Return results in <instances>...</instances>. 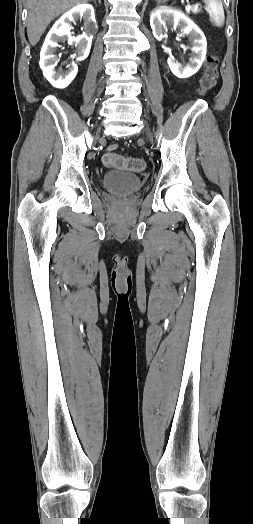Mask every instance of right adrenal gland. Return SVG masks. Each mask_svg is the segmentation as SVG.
<instances>
[{"label":"right adrenal gland","mask_w":253,"mask_h":524,"mask_svg":"<svg viewBox=\"0 0 253 524\" xmlns=\"http://www.w3.org/2000/svg\"><path fill=\"white\" fill-rule=\"evenodd\" d=\"M93 1H95V0H93ZM98 2H99V4H100V3H101V0H98Z\"/></svg>","instance_id":"right-adrenal-gland-1"}]
</instances>
